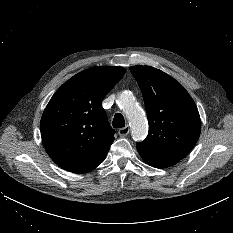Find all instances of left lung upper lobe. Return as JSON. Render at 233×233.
Wrapping results in <instances>:
<instances>
[{
  "instance_id": "1",
  "label": "left lung upper lobe",
  "mask_w": 233,
  "mask_h": 233,
  "mask_svg": "<svg viewBox=\"0 0 233 233\" xmlns=\"http://www.w3.org/2000/svg\"><path fill=\"white\" fill-rule=\"evenodd\" d=\"M130 71L143 94L149 133L137 148L149 154L183 159L196 144L201 121L198 109L184 87L163 71L132 66Z\"/></svg>"
}]
</instances>
